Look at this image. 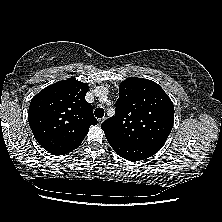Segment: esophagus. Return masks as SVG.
<instances>
[{"mask_svg": "<svg viewBox=\"0 0 222 222\" xmlns=\"http://www.w3.org/2000/svg\"><path fill=\"white\" fill-rule=\"evenodd\" d=\"M105 118L98 119L99 124H102Z\"/></svg>", "mask_w": 222, "mask_h": 222, "instance_id": "34e87169", "label": "esophagus"}]
</instances>
